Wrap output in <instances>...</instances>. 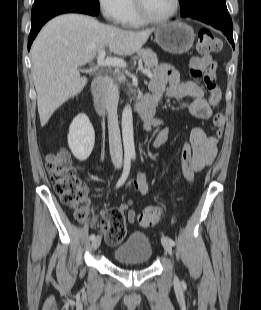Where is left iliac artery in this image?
Masks as SVG:
<instances>
[{
	"mask_svg": "<svg viewBox=\"0 0 261 310\" xmlns=\"http://www.w3.org/2000/svg\"><path fill=\"white\" fill-rule=\"evenodd\" d=\"M133 159H135V156H133ZM168 240H169V242H170V244H171L172 246H174V245H175V242H174V240H173V239L168 238Z\"/></svg>",
	"mask_w": 261,
	"mask_h": 310,
	"instance_id": "44dca946",
	"label": "left iliac artery"
}]
</instances>
